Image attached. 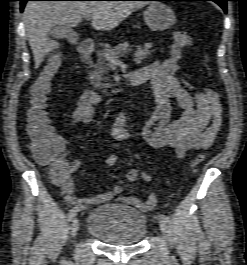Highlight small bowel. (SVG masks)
<instances>
[{"label":"small bowel","mask_w":247,"mask_h":265,"mask_svg":"<svg viewBox=\"0 0 247 265\" xmlns=\"http://www.w3.org/2000/svg\"><path fill=\"white\" fill-rule=\"evenodd\" d=\"M177 68V65L167 58L164 61H155L133 73L142 83L150 82L156 102L155 110L143 128L145 141L155 148H173L178 158H185L191 151L208 149L214 145L221 126L222 105L219 95L210 88L202 87L192 92L182 87L176 77ZM100 100L96 92L88 89L83 91L74 103L72 120L84 126L88 125L94 118L95 106ZM172 100L182 109L180 117L174 120H171ZM111 135L115 140L123 141L130 137V131L125 125L114 124ZM68 163V176L64 179H53V182L59 187L64 202L70 206L99 205L117 200L147 212L157 203L152 192L145 200L123 196V188L119 185L110 191L81 198L75 194L76 184L73 180V174L79 169L80 161L74 159ZM127 179L130 182L138 179L146 183L152 181L148 173L137 167L127 173Z\"/></svg>","instance_id":"c3829d8e"}]
</instances>
